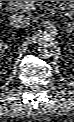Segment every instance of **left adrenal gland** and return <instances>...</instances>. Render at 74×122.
Listing matches in <instances>:
<instances>
[{
	"label": "left adrenal gland",
	"instance_id": "left-adrenal-gland-1",
	"mask_svg": "<svg viewBox=\"0 0 74 122\" xmlns=\"http://www.w3.org/2000/svg\"><path fill=\"white\" fill-rule=\"evenodd\" d=\"M69 25H63V28L66 30V31H69Z\"/></svg>",
	"mask_w": 74,
	"mask_h": 122
}]
</instances>
